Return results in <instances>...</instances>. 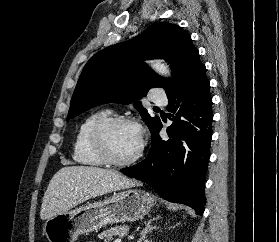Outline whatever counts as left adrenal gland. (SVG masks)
<instances>
[{
	"mask_svg": "<svg viewBox=\"0 0 279 242\" xmlns=\"http://www.w3.org/2000/svg\"><path fill=\"white\" fill-rule=\"evenodd\" d=\"M159 218H161V217L158 216L157 218H153V219H150V220L148 221V223L146 224L145 228L142 230V232H141V234H140V239H139L138 242H142V240H144V239L146 238V235H147L150 231H152L153 229H156V226H152L151 223H152V221L158 220Z\"/></svg>",
	"mask_w": 279,
	"mask_h": 242,
	"instance_id": "1",
	"label": "left adrenal gland"
}]
</instances>
